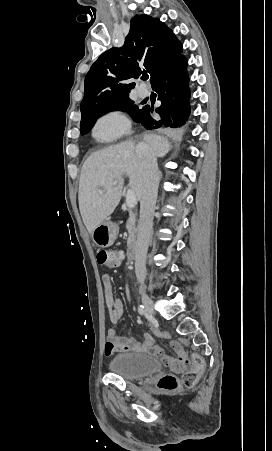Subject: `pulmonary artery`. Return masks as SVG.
Instances as JSON below:
<instances>
[{"mask_svg":"<svg viewBox=\"0 0 272 451\" xmlns=\"http://www.w3.org/2000/svg\"><path fill=\"white\" fill-rule=\"evenodd\" d=\"M137 94L140 98H146L149 95V92L145 89H139Z\"/></svg>","mask_w":272,"mask_h":451,"instance_id":"1","label":"pulmonary artery"}]
</instances>
